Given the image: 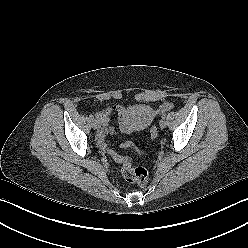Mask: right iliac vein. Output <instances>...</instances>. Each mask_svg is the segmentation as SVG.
Here are the masks:
<instances>
[{"label":"right iliac vein","instance_id":"1","mask_svg":"<svg viewBox=\"0 0 248 248\" xmlns=\"http://www.w3.org/2000/svg\"><path fill=\"white\" fill-rule=\"evenodd\" d=\"M91 125H92V128H93V129H97L98 126H99L97 120H92Z\"/></svg>","mask_w":248,"mask_h":248}]
</instances>
